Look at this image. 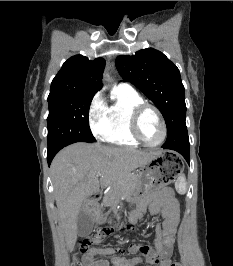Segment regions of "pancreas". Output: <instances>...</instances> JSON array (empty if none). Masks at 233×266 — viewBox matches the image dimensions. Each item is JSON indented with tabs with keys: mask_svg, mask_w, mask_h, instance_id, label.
<instances>
[{
	"mask_svg": "<svg viewBox=\"0 0 233 266\" xmlns=\"http://www.w3.org/2000/svg\"><path fill=\"white\" fill-rule=\"evenodd\" d=\"M139 187L136 174L128 175L120 184L113 186L103 198V205L116 206L124 198L129 197Z\"/></svg>",
	"mask_w": 233,
	"mask_h": 266,
	"instance_id": "1",
	"label": "pancreas"
}]
</instances>
